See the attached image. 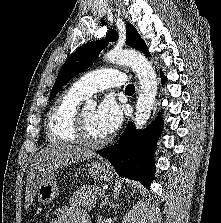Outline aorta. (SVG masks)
<instances>
[{
	"instance_id": "obj_1",
	"label": "aorta",
	"mask_w": 221,
	"mask_h": 223,
	"mask_svg": "<svg viewBox=\"0 0 221 223\" xmlns=\"http://www.w3.org/2000/svg\"><path fill=\"white\" fill-rule=\"evenodd\" d=\"M105 59L112 63L125 64L136 73L140 93L136 103L134 124L138 129L143 128L150 117L157 94L158 82L154 68L142 54L134 50L113 49L105 55ZM95 107V101L86 102L85 108Z\"/></svg>"
}]
</instances>
